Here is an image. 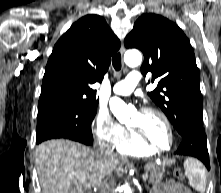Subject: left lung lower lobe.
Segmentation results:
<instances>
[{"instance_id":"0a47b994","label":"left lung lower lobe","mask_w":221,"mask_h":193,"mask_svg":"<svg viewBox=\"0 0 221 193\" xmlns=\"http://www.w3.org/2000/svg\"><path fill=\"white\" fill-rule=\"evenodd\" d=\"M176 154L195 157L210 169L207 137L202 125L192 127L189 132L182 135V142Z\"/></svg>"}]
</instances>
